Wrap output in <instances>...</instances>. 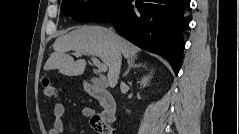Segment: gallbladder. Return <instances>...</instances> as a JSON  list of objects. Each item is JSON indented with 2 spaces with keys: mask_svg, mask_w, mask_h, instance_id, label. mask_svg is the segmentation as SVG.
<instances>
[{
  "mask_svg": "<svg viewBox=\"0 0 239 134\" xmlns=\"http://www.w3.org/2000/svg\"><path fill=\"white\" fill-rule=\"evenodd\" d=\"M92 81H93V83H94L96 86L101 85V82H100L99 80H97V79H93Z\"/></svg>",
  "mask_w": 239,
  "mask_h": 134,
  "instance_id": "gallbladder-1",
  "label": "gallbladder"
}]
</instances>
